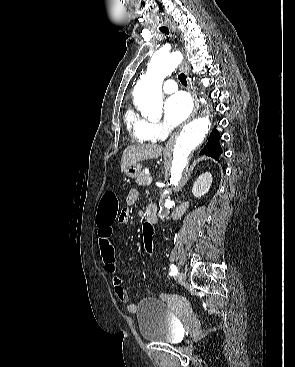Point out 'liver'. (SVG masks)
I'll return each instance as SVG.
<instances>
[{
	"instance_id": "liver-1",
	"label": "liver",
	"mask_w": 295,
	"mask_h": 367,
	"mask_svg": "<svg viewBox=\"0 0 295 367\" xmlns=\"http://www.w3.org/2000/svg\"><path fill=\"white\" fill-rule=\"evenodd\" d=\"M163 147L156 144H138L128 146L121 159V171L140 161L155 159L161 155Z\"/></svg>"
}]
</instances>
